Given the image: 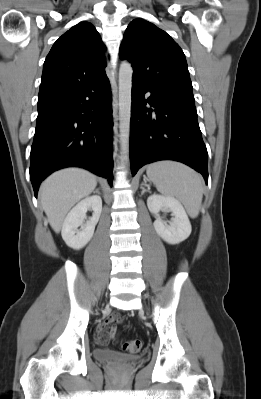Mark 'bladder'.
Returning a JSON list of instances; mask_svg holds the SVG:
<instances>
[{
	"mask_svg": "<svg viewBox=\"0 0 261 399\" xmlns=\"http://www.w3.org/2000/svg\"><path fill=\"white\" fill-rule=\"evenodd\" d=\"M93 355L96 360L103 362H133L137 360L134 355H127L109 349H95Z\"/></svg>",
	"mask_w": 261,
	"mask_h": 399,
	"instance_id": "bladder-1",
	"label": "bladder"
}]
</instances>
